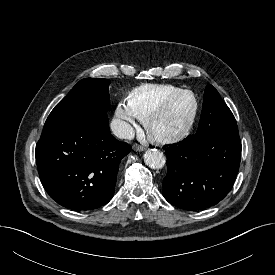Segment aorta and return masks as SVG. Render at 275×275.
Returning <instances> with one entry per match:
<instances>
[{
    "label": "aorta",
    "mask_w": 275,
    "mask_h": 275,
    "mask_svg": "<svg viewBox=\"0 0 275 275\" xmlns=\"http://www.w3.org/2000/svg\"><path fill=\"white\" fill-rule=\"evenodd\" d=\"M144 162L152 169H161L166 163V158L159 150L148 149L144 154Z\"/></svg>",
    "instance_id": "aorta-1"
}]
</instances>
